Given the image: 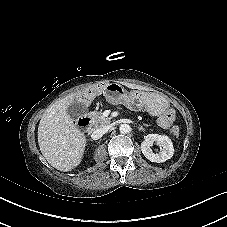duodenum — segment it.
<instances>
[{
  "mask_svg": "<svg viewBox=\"0 0 227 227\" xmlns=\"http://www.w3.org/2000/svg\"><path fill=\"white\" fill-rule=\"evenodd\" d=\"M77 125L81 130L87 131L91 126V122L87 117H82L78 120Z\"/></svg>",
  "mask_w": 227,
  "mask_h": 227,
  "instance_id": "duodenum-1",
  "label": "duodenum"
}]
</instances>
